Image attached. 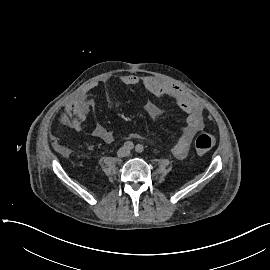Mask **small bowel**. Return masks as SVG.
<instances>
[{"mask_svg":"<svg viewBox=\"0 0 270 270\" xmlns=\"http://www.w3.org/2000/svg\"><path fill=\"white\" fill-rule=\"evenodd\" d=\"M120 82L125 86L142 84L144 88L155 97L172 98L181 110L187 114L186 126L172 148V153L176 158H185L193 137L197 132L203 129L205 124L202 108L198 101L180 86L153 76L139 78L134 75H125L120 78ZM95 86L96 84L90 85L80 93L77 99L67 105L66 110L68 117L65 120V124L70 128L77 131L83 130V122L90 104L88 101V92ZM145 110L152 117H157L162 113L161 108L153 103H148L145 106ZM93 135L106 143H112L115 138L113 132L102 124H97L94 127ZM129 136L135 137L134 135Z\"/></svg>","mask_w":270,"mask_h":270,"instance_id":"c3829d8e","label":"small bowel"}]
</instances>
